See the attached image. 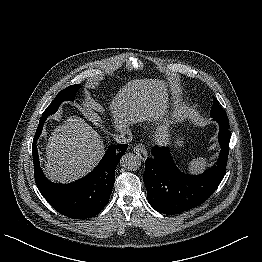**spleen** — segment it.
Returning <instances> with one entry per match:
<instances>
[{
    "label": "spleen",
    "mask_w": 262,
    "mask_h": 262,
    "mask_svg": "<svg viewBox=\"0 0 262 262\" xmlns=\"http://www.w3.org/2000/svg\"><path fill=\"white\" fill-rule=\"evenodd\" d=\"M207 165V159L199 157L188 164V170L193 173L201 172Z\"/></svg>",
    "instance_id": "spleen-1"
}]
</instances>
